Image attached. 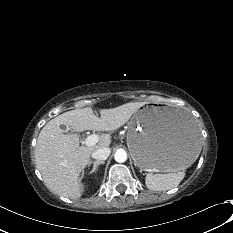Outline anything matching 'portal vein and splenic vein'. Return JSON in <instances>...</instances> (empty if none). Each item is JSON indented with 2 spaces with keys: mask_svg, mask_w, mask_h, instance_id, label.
Listing matches in <instances>:
<instances>
[{
  "mask_svg": "<svg viewBox=\"0 0 233 233\" xmlns=\"http://www.w3.org/2000/svg\"><path fill=\"white\" fill-rule=\"evenodd\" d=\"M99 137L96 134H92L88 136L85 140L86 146H94L96 143H98Z\"/></svg>",
  "mask_w": 233,
  "mask_h": 233,
  "instance_id": "obj_1",
  "label": "portal vein and splenic vein"
}]
</instances>
